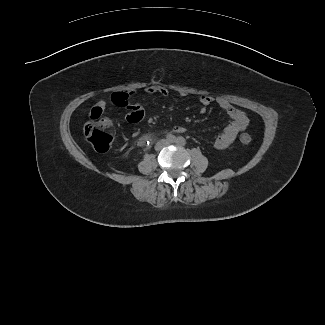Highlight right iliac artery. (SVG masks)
Listing matches in <instances>:
<instances>
[{"mask_svg": "<svg viewBox=\"0 0 325 325\" xmlns=\"http://www.w3.org/2000/svg\"><path fill=\"white\" fill-rule=\"evenodd\" d=\"M166 139H167L169 142H175V141H176L175 136L172 135V134H167V135H166Z\"/></svg>", "mask_w": 325, "mask_h": 325, "instance_id": "obj_1", "label": "right iliac artery"}]
</instances>
